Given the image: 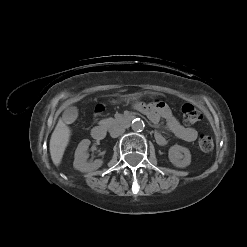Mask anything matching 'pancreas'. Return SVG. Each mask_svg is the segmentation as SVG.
<instances>
[{
    "instance_id": "pancreas-1",
    "label": "pancreas",
    "mask_w": 247,
    "mask_h": 247,
    "mask_svg": "<svg viewBox=\"0 0 247 247\" xmlns=\"http://www.w3.org/2000/svg\"><path fill=\"white\" fill-rule=\"evenodd\" d=\"M114 123H116V119L114 118H107V119H103L99 122V124L101 126H105V127H108V126H111L113 125Z\"/></svg>"
}]
</instances>
